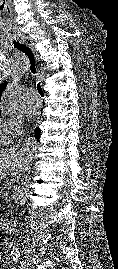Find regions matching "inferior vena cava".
Returning <instances> with one entry per match:
<instances>
[{
	"mask_svg": "<svg viewBox=\"0 0 118 269\" xmlns=\"http://www.w3.org/2000/svg\"><path fill=\"white\" fill-rule=\"evenodd\" d=\"M31 147V144H30V142H26V145H25V148L26 149H28V148H30ZM27 153H26V159H25V167L26 166H28V164H29V162H30V160H31V154H29V152L28 151H26Z\"/></svg>",
	"mask_w": 118,
	"mask_h": 269,
	"instance_id": "obj_1",
	"label": "inferior vena cava"
}]
</instances>
